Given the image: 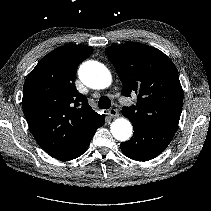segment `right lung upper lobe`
Listing matches in <instances>:
<instances>
[{
	"mask_svg": "<svg viewBox=\"0 0 211 211\" xmlns=\"http://www.w3.org/2000/svg\"><path fill=\"white\" fill-rule=\"evenodd\" d=\"M93 48L67 45L36 65L23 87L22 108L38 144L56 157L72 148L103 119L75 88L78 65Z\"/></svg>",
	"mask_w": 211,
	"mask_h": 211,
	"instance_id": "right-lung-upper-lobe-1",
	"label": "right lung upper lobe"
}]
</instances>
